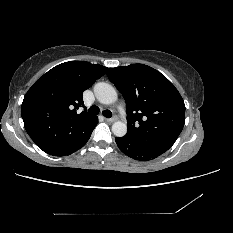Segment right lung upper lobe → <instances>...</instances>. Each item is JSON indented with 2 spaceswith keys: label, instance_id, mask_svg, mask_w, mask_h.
<instances>
[{
  "label": "right lung upper lobe",
  "instance_id": "right-lung-upper-lobe-1",
  "mask_svg": "<svg viewBox=\"0 0 233 233\" xmlns=\"http://www.w3.org/2000/svg\"><path fill=\"white\" fill-rule=\"evenodd\" d=\"M108 68L85 61L57 65L41 76L26 93L21 114L34 143L44 152L57 155L70 147L88 130L96 116L86 111L83 91L102 77Z\"/></svg>",
  "mask_w": 233,
  "mask_h": 233
}]
</instances>
